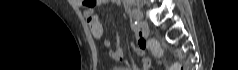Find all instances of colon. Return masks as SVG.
<instances>
[{"label":"colon","instance_id":"obj_1","mask_svg":"<svg viewBox=\"0 0 238 70\" xmlns=\"http://www.w3.org/2000/svg\"><path fill=\"white\" fill-rule=\"evenodd\" d=\"M85 2H92V1H85ZM148 48L156 55L160 56L161 55V49L157 45V43L151 41L148 42ZM172 70H183V67L179 64H174L172 67Z\"/></svg>","mask_w":238,"mask_h":70}]
</instances>
